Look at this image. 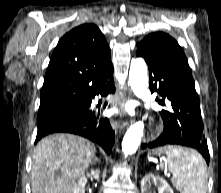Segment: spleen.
<instances>
[{
  "mask_svg": "<svg viewBox=\"0 0 221 193\" xmlns=\"http://www.w3.org/2000/svg\"><path fill=\"white\" fill-rule=\"evenodd\" d=\"M171 182L180 193H206L207 168L203 157L190 146H162Z\"/></svg>",
  "mask_w": 221,
  "mask_h": 193,
  "instance_id": "spleen-1",
  "label": "spleen"
}]
</instances>
